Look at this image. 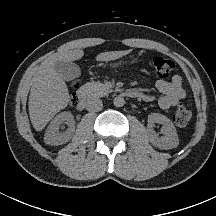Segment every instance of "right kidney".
I'll return each mask as SVG.
<instances>
[{
    "instance_id": "obj_1",
    "label": "right kidney",
    "mask_w": 216,
    "mask_h": 216,
    "mask_svg": "<svg viewBox=\"0 0 216 216\" xmlns=\"http://www.w3.org/2000/svg\"><path fill=\"white\" fill-rule=\"evenodd\" d=\"M65 122L68 125L66 132L60 134L59 127L60 124ZM75 129L74 117L70 112H62L58 114L49 124L47 131L44 135V141L46 144L50 145H61L68 142L72 133Z\"/></svg>"
}]
</instances>
